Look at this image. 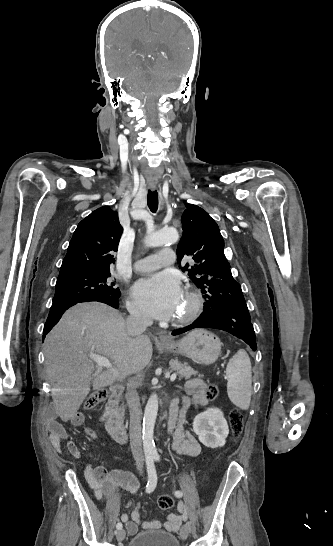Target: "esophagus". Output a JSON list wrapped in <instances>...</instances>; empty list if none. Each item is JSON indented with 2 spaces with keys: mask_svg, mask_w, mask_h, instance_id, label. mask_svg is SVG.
Segmentation results:
<instances>
[{
  "mask_svg": "<svg viewBox=\"0 0 333 546\" xmlns=\"http://www.w3.org/2000/svg\"><path fill=\"white\" fill-rule=\"evenodd\" d=\"M150 188H151L152 190H155V189H156V184H150ZM161 341H162V342H166L165 339H161Z\"/></svg>",
  "mask_w": 333,
  "mask_h": 546,
  "instance_id": "obj_1",
  "label": "esophagus"
}]
</instances>
